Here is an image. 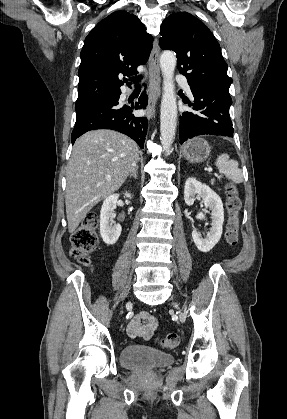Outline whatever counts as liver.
Segmentation results:
<instances>
[{"label": "liver", "mask_w": 287, "mask_h": 419, "mask_svg": "<svg viewBox=\"0 0 287 419\" xmlns=\"http://www.w3.org/2000/svg\"><path fill=\"white\" fill-rule=\"evenodd\" d=\"M138 157V145L113 130L90 131L76 140L66 172L69 233L98 202L122 186Z\"/></svg>", "instance_id": "liver-1"}]
</instances>
